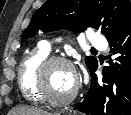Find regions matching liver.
<instances>
[{"label": "liver", "instance_id": "6515ba94", "mask_svg": "<svg viewBox=\"0 0 131 115\" xmlns=\"http://www.w3.org/2000/svg\"><path fill=\"white\" fill-rule=\"evenodd\" d=\"M12 113L14 115H50L39 108L28 106L17 107Z\"/></svg>", "mask_w": 131, "mask_h": 115}]
</instances>
